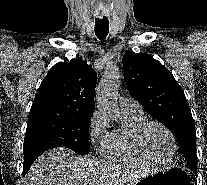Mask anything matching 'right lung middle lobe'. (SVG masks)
I'll list each match as a JSON object with an SVG mask.
<instances>
[{
    "label": "right lung middle lobe",
    "instance_id": "1",
    "mask_svg": "<svg viewBox=\"0 0 207 185\" xmlns=\"http://www.w3.org/2000/svg\"><path fill=\"white\" fill-rule=\"evenodd\" d=\"M90 119L72 116L29 115L24 139V174L44 151L64 146L78 154L89 151Z\"/></svg>",
    "mask_w": 207,
    "mask_h": 185
}]
</instances>
